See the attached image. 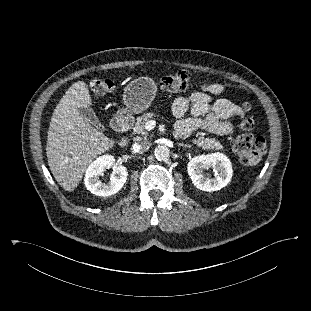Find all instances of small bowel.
Here are the masks:
<instances>
[{"label":"small bowel","instance_id":"obj_1","mask_svg":"<svg viewBox=\"0 0 311 311\" xmlns=\"http://www.w3.org/2000/svg\"><path fill=\"white\" fill-rule=\"evenodd\" d=\"M223 90V85L219 83L204 84L201 91L176 98L172 103V113L177 118L176 131L184 138L198 129L218 135L232 133L233 126L227 120L241 115V109L226 98L212 101L211 95H219ZM188 110L190 116L185 117Z\"/></svg>","mask_w":311,"mask_h":311}]
</instances>
